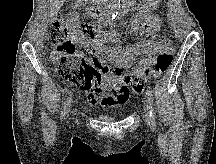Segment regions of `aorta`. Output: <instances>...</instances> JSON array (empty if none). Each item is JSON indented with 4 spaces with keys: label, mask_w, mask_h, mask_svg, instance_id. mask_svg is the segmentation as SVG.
<instances>
[{
    "label": "aorta",
    "mask_w": 216,
    "mask_h": 164,
    "mask_svg": "<svg viewBox=\"0 0 216 164\" xmlns=\"http://www.w3.org/2000/svg\"><path fill=\"white\" fill-rule=\"evenodd\" d=\"M113 15H117L120 8V0H110L109 4Z\"/></svg>",
    "instance_id": "1"
}]
</instances>
